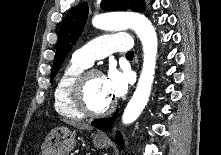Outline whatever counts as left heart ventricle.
Wrapping results in <instances>:
<instances>
[{"instance_id":"left-heart-ventricle-1","label":"left heart ventricle","mask_w":221,"mask_h":155,"mask_svg":"<svg viewBox=\"0 0 221 155\" xmlns=\"http://www.w3.org/2000/svg\"><path fill=\"white\" fill-rule=\"evenodd\" d=\"M85 97L89 107L95 111L105 109L113 101L105 89L102 75H94L89 79Z\"/></svg>"}]
</instances>
